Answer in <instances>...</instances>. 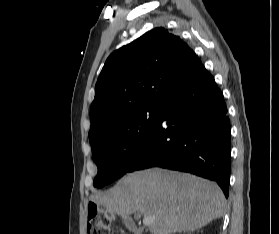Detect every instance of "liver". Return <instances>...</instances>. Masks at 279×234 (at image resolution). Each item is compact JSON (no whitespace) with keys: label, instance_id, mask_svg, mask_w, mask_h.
Segmentation results:
<instances>
[{"label":"liver","instance_id":"1","mask_svg":"<svg viewBox=\"0 0 279 234\" xmlns=\"http://www.w3.org/2000/svg\"><path fill=\"white\" fill-rule=\"evenodd\" d=\"M91 200L121 217L138 212L153 219V234L191 232L223 216L226 200L215 183L200 177L147 169L127 174Z\"/></svg>","mask_w":279,"mask_h":234}]
</instances>
